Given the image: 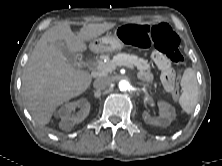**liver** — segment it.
I'll return each mask as SVG.
<instances>
[{
    "mask_svg": "<svg viewBox=\"0 0 222 166\" xmlns=\"http://www.w3.org/2000/svg\"><path fill=\"white\" fill-rule=\"evenodd\" d=\"M115 23L84 24L76 35L64 21L46 30L27 62L22 79L26 107L41 126L47 125L58 106L81 95L90 86L89 72L70 65L61 51L65 43L74 53L86 50L85 42L113 28Z\"/></svg>",
    "mask_w": 222,
    "mask_h": 166,
    "instance_id": "6515ba94",
    "label": "liver"
}]
</instances>
